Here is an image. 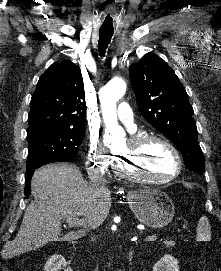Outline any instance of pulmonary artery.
Returning <instances> with one entry per match:
<instances>
[{"label": "pulmonary artery", "instance_id": "e3ab8cb5", "mask_svg": "<svg viewBox=\"0 0 221 271\" xmlns=\"http://www.w3.org/2000/svg\"><path fill=\"white\" fill-rule=\"evenodd\" d=\"M118 106L117 111L120 112L118 122H125V127H135L134 108L126 107V102H119ZM113 116H116V113H113ZM128 133H138V128H128Z\"/></svg>", "mask_w": 221, "mask_h": 271}]
</instances>
